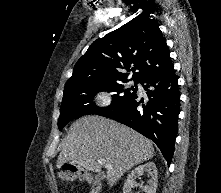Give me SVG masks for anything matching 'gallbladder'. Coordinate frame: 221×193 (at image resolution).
Wrapping results in <instances>:
<instances>
[{
	"instance_id": "1",
	"label": "gallbladder",
	"mask_w": 221,
	"mask_h": 193,
	"mask_svg": "<svg viewBox=\"0 0 221 193\" xmlns=\"http://www.w3.org/2000/svg\"><path fill=\"white\" fill-rule=\"evenodd\" d=\"M97 177H98L99 179H103V178L105 177V175H104V174H99V175H97Z\"/></svg>"
}]
</instances>
